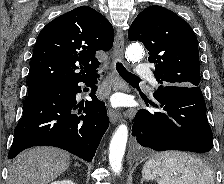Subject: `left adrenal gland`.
<instances>
[{
  "instance_id": "a2214340",
  "label": "left adrenal gland",
  "mask_w": 224,
  "mask_h": 184,
  "mask_svg": "<svg viewBox=\"0 0 224 184\" xmlns=\"http://www.w3.org/2000/svg\"><path fill=\"white\" fill-rule=\"evenodd\" d=\"M144 179H141V184H143Z\"/></svg>"
}]
</instances>
